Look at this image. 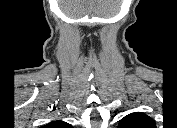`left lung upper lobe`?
<instances>
[{"label":"left lung upper lobe","mask_w":177,"mask_h":128,"mask_svg":"<svg viewBox=\"0 0 177 128\" xmlns=\"http://www.w3.org/2000/svg\"><path fill=\"white\" fill-rule=\"evenodd\" d=\"M118 128H155V123L146 114L135 112L122 118Z\"/></svg>","instance_id":"left-lung-upper-lobe-1"}]
</instances>
